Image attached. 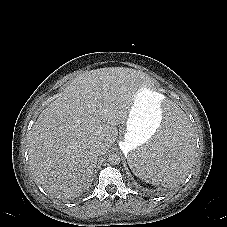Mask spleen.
<instances>
[{
  "label": "spleen",
  "mask_w": 227,
  "mask_h": 227,
  "mask_svg": "<svg viewBox=\"0 0 227 227\" xmlns=\"http://www.w3.org/2000/svg\"><path fill=\"white\" fill-rule=\"evenodd\" d=\"M162 113L155 124L157 134L128 154L127 165L137 178L170 188L184 181L193 167L194 134L187 112L176 102H165Z\"/></svg>",
  "instance_id": "spleen-1"
}]
</instances>
